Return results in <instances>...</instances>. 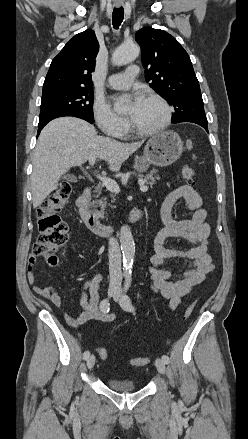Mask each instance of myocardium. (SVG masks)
I'll list each match as a JSON object with an SVG mask.
<instances>
[{"label":"myocardium","mask_w":248,"mask_h":439,"mask_svg":"<svg viewBox=\"0 0 248 439\" xmlns=\"http://www.w3.org/2000/svg\"><path fill=\"white\" fill-rule=\"evenodd\" d=\"M145 99L153 100V101L158 102L163 107V109L165 111V117H164V120L162 121V123L160 125H158L155 128H152V129H141L138 126H136L131 119H129L130 130L133 133H135L136 135H139V136H151L153 134L160 133V132L164 131L171 124L172 117H173V109H172V107L160 95L154 94V93H150V94L146 95Z\"/></svg>","instance_id":"obj_1"}]
</instances>
